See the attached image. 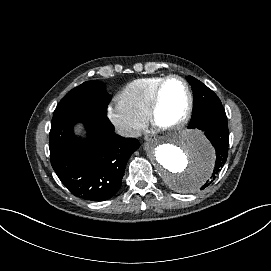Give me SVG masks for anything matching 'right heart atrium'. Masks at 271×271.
Returning a JSON list of instances; mask_svg holds the SVG:
<instances>
[{"label": "right heart atrium", "mask_w": 271, "mask_h": 271, "mask_svg": "<svg viewBox=\"0 0 271 271\" xmlns=\"http://www.w3.org/2000/svg\"><path fill=\"white\" fill-rule=\"evenodd\" d=\"M107 116L129 138L137 137L146 127V120L131 112L120 97L113 98L107 105Z\"/></svg>", "instance_id": "1"}]
</instances>
